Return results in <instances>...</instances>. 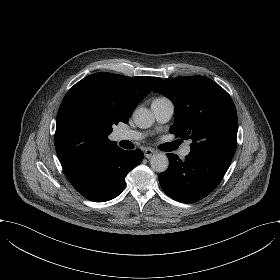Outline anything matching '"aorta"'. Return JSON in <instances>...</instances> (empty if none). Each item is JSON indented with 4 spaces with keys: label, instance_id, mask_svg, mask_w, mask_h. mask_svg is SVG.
Listing matches in <instances>:
<instances>
[{
    "label": "aorta",
    "instance_id": "1",
    "mask_svg": "<svg viewBox=\"0 0 280 280\" xmlns=\"http://www.w3.org/2000/svg\"><path fill=\"white\" fill-rule=\"evenodd\" d=\"M133 121L139 128H149L154 122L151 111L145 107L137 108L133 113ZM169 160L163 153H158L151 158V168L157 173H163L168 169Z\"/></svg>",
    "mask_w": 280,
    "mask_h": 280
}]
</instances>
